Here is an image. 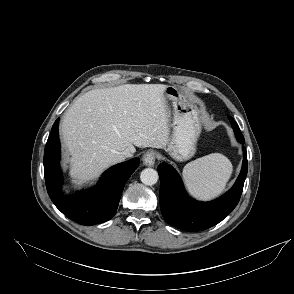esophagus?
Masks as SVG:
<instances>
[{"instance_id":"obj_1","label":"esophagus","mask_w":294,"mask_h":294,"mask_svg":"<svg viewBox=\"0 0 294 294\" xmlns=\"http://www.w3.org/2000/svg\"><path fill=\"white\" fill-rule=\"evenodd\" d=\"M156 153L148 151L143 155L142 161L146 166H153L155 163Z\"/></svg>"}]
</instances>
